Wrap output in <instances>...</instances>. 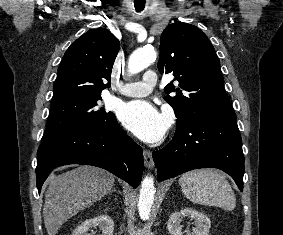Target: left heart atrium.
Here are the masks:
<instances>
[{
  "label": "left heart atrium",
  "instance_id": "39dd6f15",
  "mask_svg": "<svg viewBox=\"0 0 283 235\" xmlns=\"http://www.w3.org/2000/svg\"><path fill=\"white\" fill-rule=\"evenodd\" d=\"M119 119L135 136L148 143L161 140L169 127L168 118L143 100L124 104L119 111Z\"/></svg>",
  "mask_w": 283,
  "mask_h": 235
}]
</instances>
